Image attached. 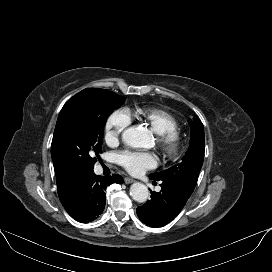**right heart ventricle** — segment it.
Wrapping results in <instances>:
<instances>
[{"label":"right heart ventricle","instance_id":"1","mask_svg":"<svg viewBox=\"0 0 272 272\" xmlns=\"http://www.w3.org/2000/svg\"><path fill=\"white\" fill-rule=\"evenodd\" d=\"M131 121L137 120L146 123L156 134H161L170 130H176L180 124L170 113L156 109L144 108L138 111L126 110Z\"/></svg>","mask_w":272,"mask_h":272}]
</instances>
